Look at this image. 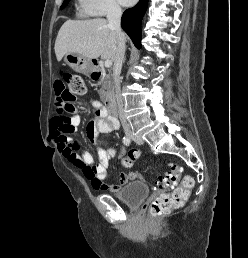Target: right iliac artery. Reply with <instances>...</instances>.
I'll return each instance as SVG.
<instances>
[{
  "label": "right iliac artery",
  "mask_w": 248,
  "mask_h": 258,
  "mask_svg": "<svg viewBox=\"0 0 248 258\" xmlns=\"http://www.w3.org/2000/svg\"><path fill=\"white\" fill-rule=\"evenodd\" d=\"M123 143L128 146L130 144V139L128 137H123Z\"/></svg>",
  "instance_id": "82829eb1"
}]
</instances>
